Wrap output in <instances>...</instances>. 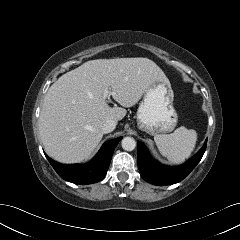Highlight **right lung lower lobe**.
<instances>
[{
	"label": "right lung lower lobe",
	"instance_id": "1",
	"mask_svg": "<svg viewBox=\"0 0 240 240\" xmlns=\"http://www.w3.org/2000/svg\"><path fill=\"white\" fill-rule=\"evenodd\" d=\"M122 137L108 141L103 144L94 159L86 164H61L49 158H46L58 173L66 181L75 184H92L101 181L108 170L113 152Z\"/></svg>",
	"mask_w": 240,
	"mask_h": 240
}]
</instances>
